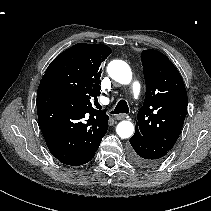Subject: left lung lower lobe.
Wrapping results in <instances>:
<instances>
[{"label": "left lung lower lobe", "mask_w": 211, "mask_h": 211, "mask_svg": "<svg viewBox=\"0 0 211 211\" xmlns=\"http://www.w3.org/2000/svg\"><path fill=\"white\" fill-rule=\"evenodd\" d=\"M130 144L129 159L134 165L142 168L158 165L169 152L136 132L130 138Z\"/></svg>", "instance_id": "obj_1"}]
</instances>
